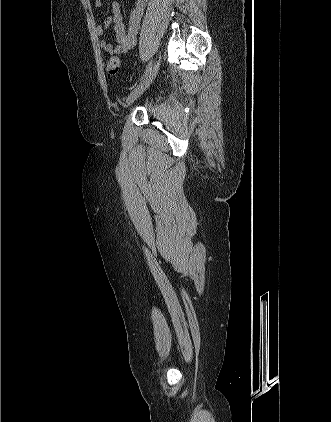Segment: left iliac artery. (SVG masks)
I'll use <instances>...</instances> for the list:
<instances>
[{
  "label": "left iliac artery",
  "mask_w": 331,
  "mask_h": 422,
  "mask_svg": "<svg viewBox=\"0 0 331 422\" xmlns=\"http://www.w3.org/2000/svg\"><path fill=\"white\" fill-rule=\"evenodd\" d=\"M152 67V62L150 61L149 64L147 65L145 71H144V75L149 71V69Z\"/></svg>",
  "instance_id": "obj_1"
}]
</instances>
